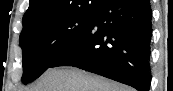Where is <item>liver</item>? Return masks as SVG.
<instances>
[{"instance_id": "1", "label": "liver", "mask_w": 173, "mask_h": 91, "mask_svg": "<svg viewBox=\"0 0 173 91\" xmlns=\"http://www.w3.org/2000/svg\"><path fill=\"white\" fill-rule=\"evenodd\" d=\"M25 91H133L132 88L76 67L49 68Z\"/></svg>"}]
</instances>
